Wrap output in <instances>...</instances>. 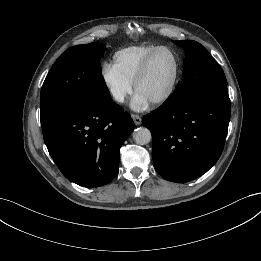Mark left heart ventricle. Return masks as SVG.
I'll return each instance as SVG.
<instances>
[{
    "instance_id": "1",
    "label": "left heart ventricle",
    "mask_w": 261,
    "mask_h": 261,
    "mask_svg": "<svg viewBox=\"0 0 261 261\" xmlns=\"http://www.w3.org/2000/svg\"><path fill=\"white\" fill-rule=\"evenodd\" d=\"M174 58L168 51H160L153 58L145 79L137 92L151 101L162 95L169 87L174 74Z\"/></svg>"
}]
</instances>
